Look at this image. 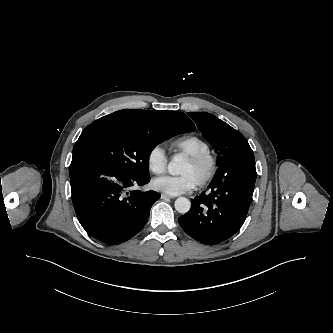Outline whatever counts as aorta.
<instances>
[{"label":"aorta","mask_w":333,"mask_h":333,"mask_svg":"<svg viewBox=\"0 0 333 333\" xmlns=\"http://www.w3.org/2000/svg\"><path fill=\"white\" fill-rule=\"evenodd\" d=\"M182 167L181 159L175 157L172 161L168 164V172L171 175H179ZM175 209L177 212L185 214L190 210L191 203L185 197H179L175 200Z\"/></svg>","instance_id":"aorta-1"}]
</instances>
